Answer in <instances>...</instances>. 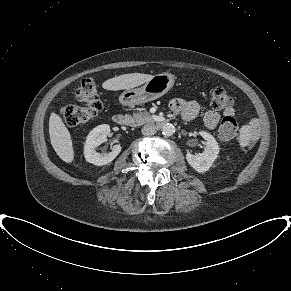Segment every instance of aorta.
Listing matches in <instances>:
<instances>
[{
	"label": "aorta",
	"instance_id": "1",
	"mask_svg": "<svg viewBox=\"0 0 291 291\" xmlns=\"http://www.w3.org/2000/svg\"><path fill=\"white\" fill-rule=\"evenodd\" d=\"M161 130H162V134L164 136H167V137L172 136L175 132L174 126L172 124H169V123L164 124L162 126Z\"/></svg>",
	"mask_w": 291,
	"mask_h": 291
}]
</instances>
